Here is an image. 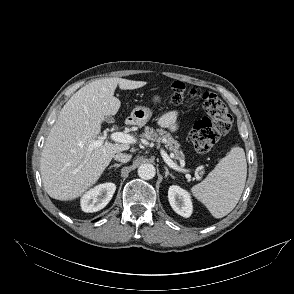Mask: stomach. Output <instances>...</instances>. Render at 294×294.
Here are the masks:
<instances>
[{
  "mask_svg": "<svg viewBox=\"0 0 294 294\" xmlns=\"http://www.w3.org/2000/svg\"><path fill=\"white\" fill-rule=\"evenodd\" d=\"M154 103H159L161 101V97L158 95H154L152 98ZM153 111L145 106H137L131 112L130 119L133 124L138 125L140 127L144 126L151 118Z\"/></svg>",
  "mask_w": 294,
  "mask_h": 294,
  "instance_id": "stomach-1",
  "label": "stomach"
}]
</instances>
